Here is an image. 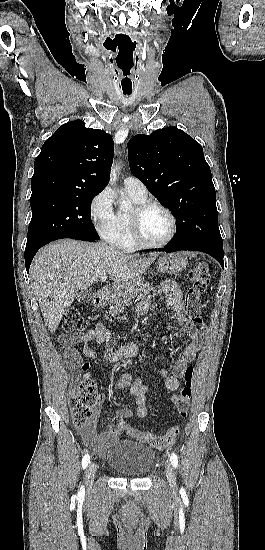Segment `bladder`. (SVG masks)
Returning <instances> with one entry per match:
<instances>
[{"mask_svg": "<svg viewBox=\"0 0 265 550\" xmlns=\"http://www.w3.org/2000/svg\"><path fill=\"white\" fill-rule=\"evenodd\" d=\"M108 465L118 474L140 478L147 475L156 461V452L135 441H112L105 452Z\"/></svg>", "mask_w": 265, "mask_h": 550, "instance_id": "31cf9c89", "label": "bladder"}]
</instances>
